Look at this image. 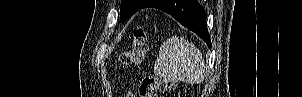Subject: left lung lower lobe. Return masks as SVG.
Here are the masks:
<instances>
[{
  "label": "left lung lower lobe",
  "instance_id": "obj_1",
  "mask_svg": "<svg viewBox=\"0 0 302 97\" xmlns=\"http://www.w3.org/2000/svg\"><path fill=\"white\" fill-rule=\"evenodd\" d=\"M148 7L170 14L183 26L195 32L211 48L205 12L197 0H153Z\"/></svg>",
  "mask_w": 302,
  "mask_h": 97
}]
</instances>
